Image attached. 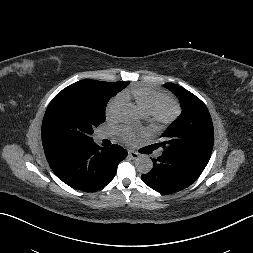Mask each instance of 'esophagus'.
<instances>
[{
	"label": "esophagus",
	"mask_w": 253,
	"mask_h": 253,
	"mask_svg": "<svg viewBox=\"0 0 253 253\" xmlns=\"http://www.w3.org/2000/svg\"><path fill=\"white\" fill-rule=\"evenodd\" d=\"M128 155L132 158V159H137V158H139V153H137V152H135V151H133V150H129L128 151Z\"/></svg>",
	"instance_id": "1"
}]
</instances>
